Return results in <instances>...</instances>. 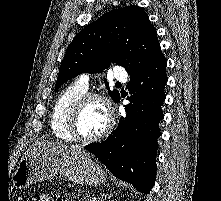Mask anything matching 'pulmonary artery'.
<instances>
[{
  "mask_svg": "<svg viewBox=\"0 0 221 201\" xmlns=\"http://www.w3.org/2000/svg\"><path fill=\"white\" fill-rule=\"evenodd\" d=\"M114 78L118 81L125 82L128 78L127 72L122 67H117L114 70ZM80 86L87 89L89 86V78L87 75H81L77 82Z\"/></svg>",
  "mask_w": 221,
  "mask_h": 201,
  "instance_id": "e3ab8cb5",
  "label": "pulmonary artery"
}]
</instances>
